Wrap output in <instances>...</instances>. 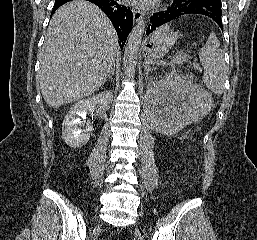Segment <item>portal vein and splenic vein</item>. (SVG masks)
Masks as SVG:
<instances>
[{"instance_id":"1","label":"portal vein and splenic vein","mask_w":257,"mask_h":240,"mask_svg":"<svg viewBox=\"0 0 257 240\" xmlns=\"http://www.w3.org/2000/svg\"><path fill=\"white\" fill-rule=\"evenodd\" d=\"M186 59H187L186 56L181 55V54H178V55H176V56H174V57L172 58V61H171L170 65L172 66V65H174L175 63L181 64V63H183Z\"/></svg>"}]
</instances>
